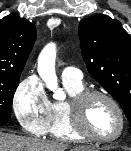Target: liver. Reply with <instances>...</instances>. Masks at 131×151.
I'll use <instances>...</instances> for the list:
<instances>
[{"instance_id": "1", "label": "liver", "mask_w": 131, "mask_h": 151, "mask_svg": "<svg viewBox=\"0 0 131 151\" xmlns=\"http://www.w3.org/2000/svg\"><path fill=\"white\" fill-rule=\"evenodd\" d=\"M69 147L68 144L64 143L19 137L0 132V151H66ZM73 150L84 151L85 148Z\"/></svg>"}]
</instances>
